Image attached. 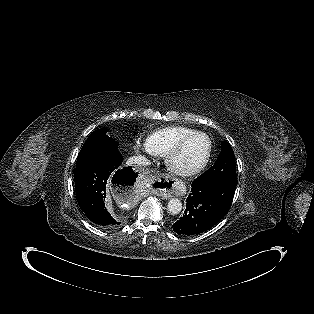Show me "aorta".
Here are the masks:
<instances>
[{"label":"aorta","instance_id":"obj_1","mask_svg":"<svg viewBox=\"0 0 314 314\" xmlns=\"http://www.w3.org/2000/svg\"><path fill=\"white\" fill-rule=\"evenodd\" d=\"M167 209L171 215L179 214L182 210V203L178 198H172L168 202Z\"/></svg>","mask_w":314,"mask_h":314}]
</instances>
